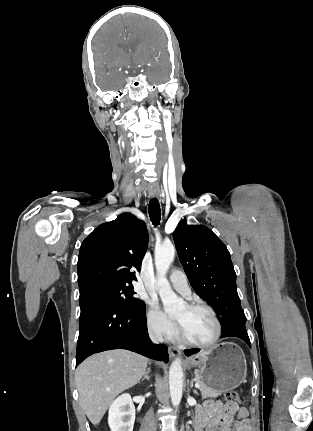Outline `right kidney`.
Wrapping results in <instances>:
<instances>
[{
    "label": "right kidney",
    "mask_w": 313,
    "mask_h": 431,
    "mask_svg": "<svg viewBox=\"0 0 313 431\" xmlns=\"http://www.w3.org/2000/svg\"><path fill=\"white\" fill-rule=\"evenodd\" d=\"M135 407L129 394H122L109 408L108 424L111 431H133Z\"/></svg>",
    "instance_id": "1"
}]
</instances>
